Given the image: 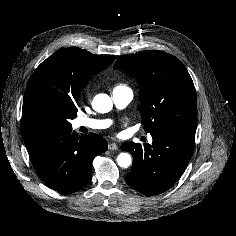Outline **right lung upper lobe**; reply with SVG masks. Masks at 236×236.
<instances>
[{"label": "right lung upper lobe", "mask_w": 236, "mask_h": 236, "mask_svg": "<svg viewBox=\"0 0 236 236\" xmlns=\"http://www.w3.org/2000/svg\"><path fill=\"white\" fill-rule=\"evenodd\" d=\"M115 56H100L77 48H62L43 61L31 75L23 100L21 131L24 141L34 136L22 127L31 92L43 88L78 102L89 79L106 69Z\"/></svg>", "instance_id": "right-lung-upper-lobe-1"}]
</instances>
